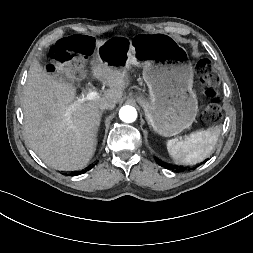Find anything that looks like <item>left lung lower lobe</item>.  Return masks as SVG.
Here are the masks:
<instances>
[{
    "mask_svg": "<svg viewBox=\"0 0 253 253\" xmlns=\"http://www.w3.org/2000/svg\"><path fill=\"white\" fill-rule=\"evenodd\" d=\"M157 163L160 166L164 167V168H170V169H173V170L176 169V172H182L183 171L182 169H177L176 167H174V166H172L170 164H167V163H165V162H163L161 160H157Z\"/></svg>",
    "mask_w": 253,
    "mask_h": 253,
    "instance_id": "0a47b994",
    "label": "left lung lower lobe"
}]
</instances>
